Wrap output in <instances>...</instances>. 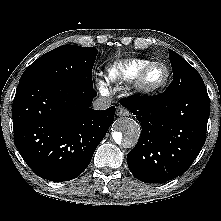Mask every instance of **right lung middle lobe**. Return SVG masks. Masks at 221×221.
<instances>
[{
  "instance_id": "1",
  "label": "right lung middle lobe",
  "mask_w": 221,
  "mask_h": 221,
  "mask_svg": "<svg viewBox=\"0 0 221 221\" xmlns=\"http://www.w3.org/2000/svg\"><path fill=\"white\" fill-rule=\"evenodd\" d=\"M97 53L94 47L60 46L35 60L19 82L34 79L93 88L92 68Z\"/></svg>"
}]
</instances>
